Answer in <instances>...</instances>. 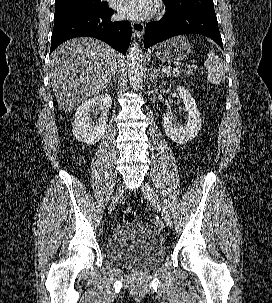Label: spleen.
<instances>
[{"instance_id":"1","label":"spleen","mask_w":272,"mask_h":303,"mask_svg":"<svg viewBox=\"0 0 272 303\" xmlns=\"http://www.w3.org/2000/svg\"><path fill=\"white\" fill-rule=\"evenodd\" d=\"M207 59L204 62L206 69L208 70L207 80L212 84H219L225 79L226 65L222 58L215 55L213 50H209Z\"/></svg>"}]
</instances>
